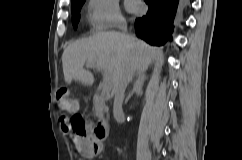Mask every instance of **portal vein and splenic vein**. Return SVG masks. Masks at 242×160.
<instances>
[{"instance_id": "18ae733b", "label": "portal vein and splenic vein", "mask_w": 242, "mask_h": 160, "mask_svg": "<svg viewBox=\"0 0 242 160\" xmlns=\"http://www.w3.org/2000/svg\"><path fill=\"white\" fill-rule=\"evenodd\" d=\"M86 66L88 68H93L94 67L91 64H87ZM103 77H104L103 78V94H106V93H108L111 90L112 82H111V78H110L109 74L106 71H104Z\"/></svg>"}]
</instances>
